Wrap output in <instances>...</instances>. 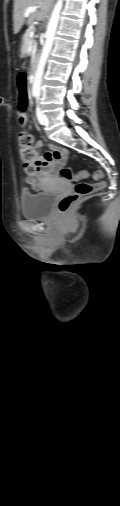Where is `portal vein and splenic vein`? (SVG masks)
Returning a JSON list of instances; mask_svg holds the SVG:
<instances>
[{
    "label": "portal vein and splenic vein",
    "mask_w": 120,
    "mask_h": 506,
    "mask_svg": "<svg viewBox=\"0 0 120 506\" xmlns=\"http://www.w3.org/2000/svg\"><path fill=\"white\" fill-rule=\"evenodd\" d=\"M37 10V7L35 6H31V7H28L25 11V16H28L30 13L32 12H35ZM30 36L33 37L34 36V31H31L30 32Z\"/></svg>",
    "instance_id": "portal-vein-and-splenic-vein-1"
}]
</instances>
